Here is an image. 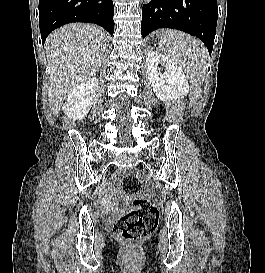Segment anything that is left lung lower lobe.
<instances>
[{
    "label": "left lung lower lobe",
    "instance_id": "left-lung-lower-lobe-1",
    "mask_svg": "<svg viewBox=\"0 0 265 273\" xmlns=\"http://www.w3.org/2000/svg\"><path fill=\"white\" fill-rule=\"evenodd\" d=\"M217 0H152L142 8L141 34L172 28L201 39L211 54L217 25Z\"/></svg>",
    "mask_w": 265,
    "mask_h": 273
}]
</instances>
